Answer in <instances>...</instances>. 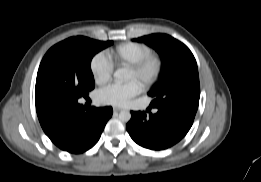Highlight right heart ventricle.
<instances>
[{
  "label": "right heart ventricle",
  "instance_id": "e07e8e85",
  "mask_svg": "<svg viewBox=\"0 0 261 182\" xmlns=\"http://www.w3.org/2000/svg\"><path fill=\"white\" fill-rule=\"evenodd\" d=\"M151 54V48L143 43L126 42L115 48L111 61L117 65L130 66Z\"/></svg>",
  "mask_w": 261,
  "mask_h": 182
}]
</instances>
